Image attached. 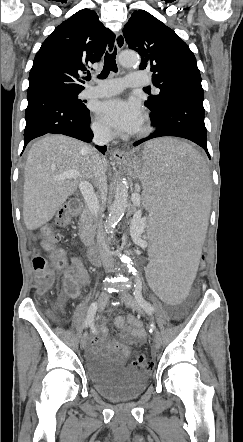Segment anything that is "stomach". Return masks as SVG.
I'll use <instances>...</instances> for the list:
<instances>
[{"label": "stomach", "instance_id": "1", "mask_svg": "<svg viewBox=\"0 0 243 442\" xmlns=\"http://www.w3.org/2000/svg\"><path fill=\"white\" fill-rule=\"evenodd\" d=\"M125 164L128 167L129 174L132 177H136L137 165H140L139 157H137V156H128L125 159Z\"/></svg>", "mask_w": 243, "mask_h": 442}]
</instances>
